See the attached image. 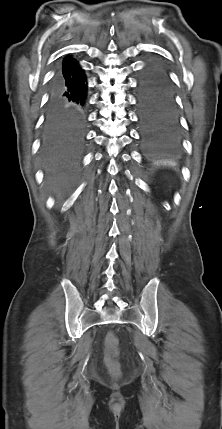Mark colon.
Masks as SVG:
<instances>
[{"label": "colon", "mask_w": 222, "mask_h": 429, "mask_svg": "<svg viewBox=\"0 0 222 429\" xmlns=\"http://www.w3.org/2000/svg\"><path fill=\"white\" fill-rule=\"evenodd\" d=\"M106 353H107V367L109 373L118 377L121 374L120 365L116 360V356L118 353L117 350V339L112 332H109L106 336Z\"/></svg>", "instance_id": "colon-1"}]
</instances>
